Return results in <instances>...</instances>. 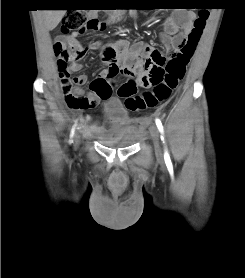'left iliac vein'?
I'll return each mask as SVG.
<instances>
[{
    "instance_id": "4c4485c4",
    "label": "left iliac vein",
    "mask_w": 245,
    "mask_h": 278,
    "mask_svg": "<svg viewBox=\"0 0 245 278\" xmlns=\"http://www.w3.org/2000/svg\"><path fill=\"white\" fill-rule=\"evenodd\" d=\"M151 137L153 140L154 149H155V153H156L157 157L159 159H163L162 149H161V145H160V143H161L160 133H159L158 129L154 126L151 128Z\"/></svg>"
}]
</instances>
